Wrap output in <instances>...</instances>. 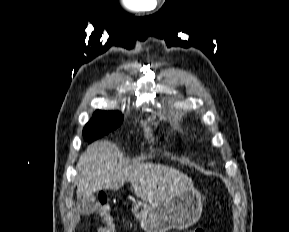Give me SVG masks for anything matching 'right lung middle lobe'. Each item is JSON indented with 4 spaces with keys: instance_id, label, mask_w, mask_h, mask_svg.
I'll return each mask as SVG.
<instances>
[{
    "instance_id": "1",
    "label": "right lung middle lobe",
    "mask_w": 289,
    "mask_h": 232,
    "mask_svg": "<svg viewBox=\"0 0 289 232\" xmlns=\"http://www.w3.org/2000/svg\"><path fill=\"white\" fill-rule=\"evenodd\" d=\"M122 121L123 115L118 111L97 110L93 118L86 124L83 137L90 143L116 129Z\"/></svg>"
}]
</instances>
